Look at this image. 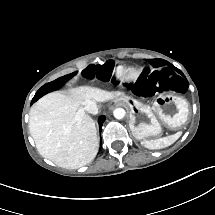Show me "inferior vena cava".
<instances>
[{
    "mask_svg": "<svg viewBox=\"0 0 215 215\" xmlns=\"http://www.w3.org/2000/svg\"><path fill=\"white\" fill-rule=\"evenodd\" d=\"M84 110L90 114L96 115L98 113V107L96 102L92 100L87 101Z\"/></svg>",
    "mask_w": 215,
    "mask_h": 215,
    "instance_id": "obj_1",
    "label": "inferior vena cava"
}]
</instances>
